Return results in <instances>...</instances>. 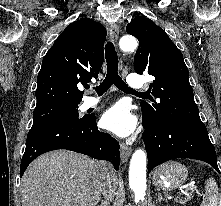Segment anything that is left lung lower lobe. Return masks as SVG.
I'll list each match as a JSON object with an SVG mask.
<instances>
[{
    "instance_id": "left-lung-lower-lobe-1",
    "label": "left lung lower lobe",
    "mask_w": 221,
    "mask_h": 206,
    "mask_svg": "<svg viewBox=\"0 0 221 206\" xmlns=\"http://www.w3.org/2000/svg\"><path fill=\"white\" fill-rule=\"evenodd\" d=\"M142 121L148 172L155 166L175 158L201 160L219 172L215 149L202 122H174L153 127L143 111Z\"/></svg>"
}]
</instances>
